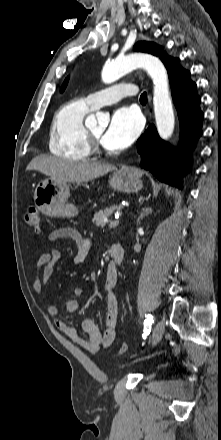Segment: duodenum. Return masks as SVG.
<instances>
[{
	"label": "duodenum",
	"mask_w": 221,
	"mask_h": 440,
	"mask_svg": "<svg viewBox=\"0 0 221 440\" xmlns=\"http://www.w3.org/2000/svg\"><path fill=\"white\" fill-rule=\"evenodd\" d=\"M110 253L113 260L111 266L116 270L124 260V249L119 243H114L110 248Z\"/></svg>",
	"instance_id": "410a0bca"
}]
</instances>
